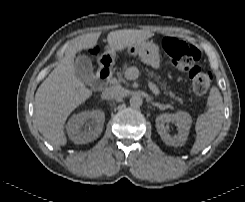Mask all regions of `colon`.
I'll return each mask as SVG.
<instances>
[{"instance_id": "1", "label": "colon", "mask_w": 245, "mask_h": 202, "mask_svg": "<svg viewBox=\"0 0 245 202\" xmlns=\"http://www.w3.org/2000/svg\"><path fill=\"white\" fill-rule=\"evenodd\" d=\"M162 46L177 70L186 71L190 69L194 93L196 95L204 94L211 85L212 75L198 64L201 56L200 50L196 46L173 36H166L162 41Z\"/></svg>"}]
</instances>
